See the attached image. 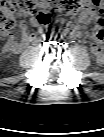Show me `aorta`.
<instances>
[{
    "instance_id": "1",
    "label": "aorta",
    "mask_w": 104,
    "mask_h": 137,
    "mask_svg": "<svg viewBox=\"0 0 104 137\" xmlns=\"http://www.w3.org/2000/svg\"><path fill=\"white\" fill-rule=\"evenodd\" d=\"M54 38H55V41H56V42H59V43H60V42H63V41L65 40V35H64L63 33H60V32H59V33H56V34H55V37H54Z\"/></svg>"
}]
</instances>
